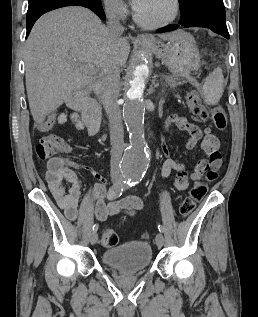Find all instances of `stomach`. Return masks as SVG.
I'll return each mask as SVG.
<instances>
[{"label":"stomach","mask_w":258,"mask_h":317,"mask_svg":"<svg viewBox=\"0 0 258 317\" xmlns=\"http://www.w3.org/2000/svg\"><path fill=\"white\" fill-rule=\"evenodd\" d=\"M177 32V40L161 42L150 36L138 44L143 48H149L151 52L162 58L170 72L176 76H190L191 70H195L200 64L199 50L190 32L185 30H177Z\"/></svg>","instance_id":"obj_1"}]
</instances>
